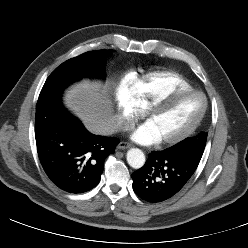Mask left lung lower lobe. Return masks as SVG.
Listing matches in <instances>:
<instances>
[{
	"mask_svg": "<svg viewBox=\"0 0 248 248\" xmlns=\"http://www.w3.org/2000/svg\"><path fill=\"white\" fill-rule=\"evenodd\" d=\"M202 155L191 149L152 151L145 165L132 174L134 192L151 203L174 197L188 183Z\"/></svg>",
	"mask_w": 248,
	"mask_h": 248,
	"instance_id": "obj_1",
	"label": "left lung lower lobe"
}]
</instances>
